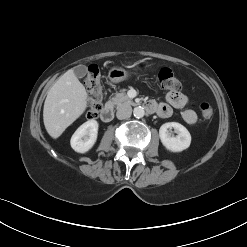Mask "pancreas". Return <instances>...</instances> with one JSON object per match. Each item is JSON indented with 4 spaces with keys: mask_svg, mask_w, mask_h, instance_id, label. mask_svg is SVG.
<instances>
[{
    "mask_svg": "<svg viewBox=\"0 0 247 247\" xmlns=\"http://www.w3.org/2000/svg\"><path fill=\"white\" fill-rule=\"evenodd\" d=\"M112 103L117 107L121 105H134L135 103L127 96V94L122 91L120 93H116L115 96L111 99Z\"/></svg>",
    "mask_w": 247,
    "mask_h": 247,
    "instance_id": "obj_1",
    "label": "pancreas"
}]
</instances>
